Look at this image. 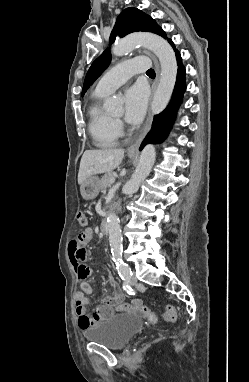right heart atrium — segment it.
I'll list each match as a JSON object with an SVG mask.
<instances>
[{
  "instance_id": "d8ad5b80",
  "label": "right heart atrium",
  "mask_w": 249,
  "mask_h": 382,
  "mask_svg": "<svg viewBox=\"0 0 249 382\" xmlns=\"http://www.w3.org/2000/svg\"><path fill=\"white\" fill-rule=\"evenodd\" d=\"M116 129L119 133H121L123 125L119 120H115Z\"/></svg>"
}]
</instances>
